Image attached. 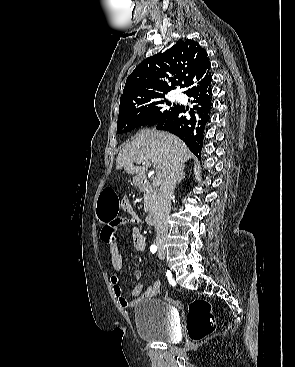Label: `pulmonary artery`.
Segmentation results:
<instances>
[{
	"mask_svg": "<svg viewBox=\"0 0 295 367\" xmlns=\"http://www.w3.org/2000/svg\"><path fill=\"white\" fill-rule=\"evenodd\" d=\"M181 97L179 95H177V99H180Z\"/></svg>",
	"mask_w": 295,
	"mask_h": 367,
	"instance_id": "1",
	"label": "pulmonary artery"
}]
</instances>
